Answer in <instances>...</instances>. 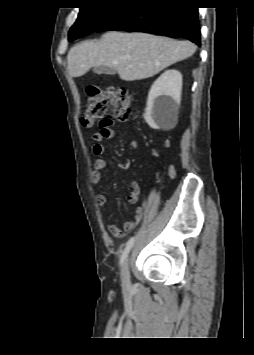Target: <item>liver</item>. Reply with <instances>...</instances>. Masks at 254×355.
Instances as JSON below:
<instances>
[{"label": "liver", "instance_id": "liver-1", "mask_svg": "<svg viewBox=\"0 0 254 355\" xmlns=\"http://www.w3.org/2000/svg\"><path fill=\"white\" fill-rule=\"evenodd\" d=\"M197 46L146 33L111 31L100 40H87L70 49L67 67L71 77L83 76L100 65L115 68L120 79H146L192 56Z\"/></svg>", "mask_w": 254, "mask_h": 355}]
</instances>
